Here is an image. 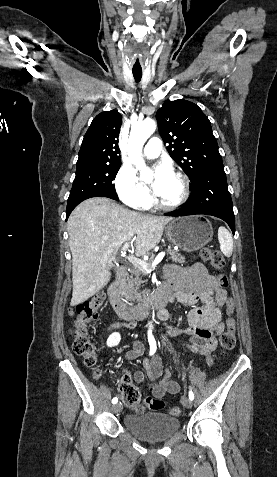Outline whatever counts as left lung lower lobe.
I'll list each match as a JSON object with an SVG mask.
<instances>
[{
  "instance_id": "obj_1",
  "label": "left lung lower lobe",
  "mask_w": 277,
  "mask_h": 477,
  "mask_svg": "<svg viewBox=\"0 0 277 477\" xmlns=\"http://www.w3.org/2000/svg\"><path fill=\"white\" fill-rule=\"evenodd\" d=\"M205 214L218 217L228 223L235 233V217L230 193L227 188L223 164L204 169L192 184L191 199L180 210L166 213V216H186Z\"/></svg>"
}]
</instances>
